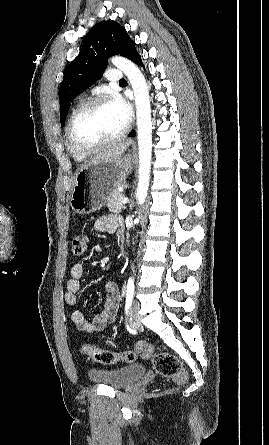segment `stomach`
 <instances>
[{"label": "stomach", "mask_w": 269, "mask_h": 445, "mask_svg": "<svg viewBox=\"0 0 269 445\" xmlns=\"http://www.w3.org/2000/svg\"><path fill=\"white\" fill-rule=\"evenodd\" d=\"M133 164V157L127 154L113 161H101L80 169L70 197L74 212L84 215L101 209L132 171Z\"/></svg>", "instance_id": "stomach-1"}]
</instances>
